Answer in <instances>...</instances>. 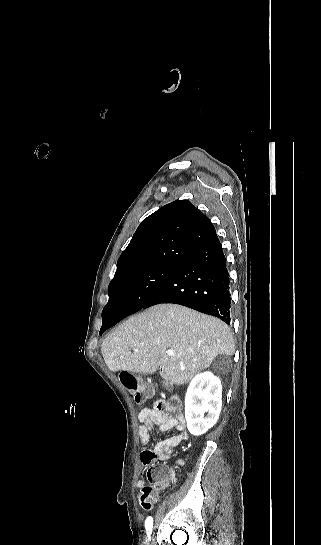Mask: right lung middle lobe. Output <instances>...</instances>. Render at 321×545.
Here are the masks:
<instances>
[{"label": "right lung middle lobe", "instance_id": "dd1d6c3e", "mask_svg": "<svg viewBox=\"0 0 321 545\" xmlns=\"http://www.w3.org/2000/svg\"><path fill=\"white\" fill-rule=\"evenodd\" d=\"M179 267L158 264L118 275L108 287L109 301L107 305L119 307L124 317L139 311ZM102 320L101 329L107 325L104 315H102Z\"/></svg>", "mask_w": 321, "mask_h": 545}]
</instances>
